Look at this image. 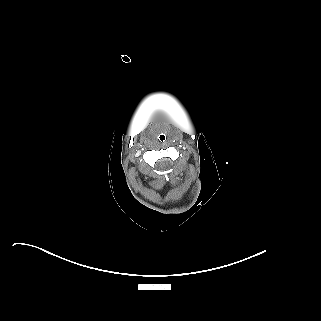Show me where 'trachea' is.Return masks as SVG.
<instances>
[{
    "label": "trachea",
    "instance_id": "1",
    "mask_svg": "<svg viewBox=\"0 0 321 321\" xmlns=\"http://www.w3.org/2000/svg\"><path fill=\"white\" fill-rule=\"evenodd\" d=\"M158 137L161 139V141H166V136H165V134L163 133V132H160L159 134H158Z\"/></svg>",
    "mask_w": 321,
    "mask_h": 321
}]
</instances>
